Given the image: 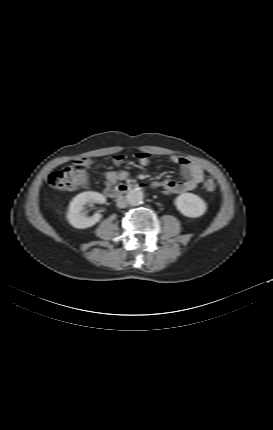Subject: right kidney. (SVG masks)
Returning <instances> with one entry per match:
<instances>
[{
  "label": "right kidney",
  "instance_id": "1",
  "mask_svg": "<svg viewBox=\"0 0 273 430\" xmlns=\"http://www.w3.org/2000/svg\"><path fill=\"white\" fill-rule=\"evenodd\" d=\"M105 197L94 191H88L78 194L70 202L67 219L69 223L78 229L92 227L98 223L102 217L101 214L95 213L93 216L86 217L84 206L89 202L105 203Z\"/></svg>",
  "mask_w": 273,
  "mask_h": 430
}]
</instances>
